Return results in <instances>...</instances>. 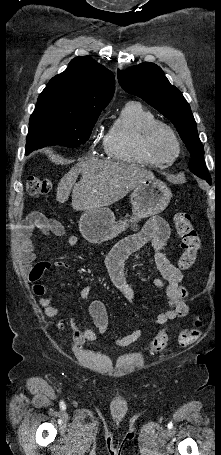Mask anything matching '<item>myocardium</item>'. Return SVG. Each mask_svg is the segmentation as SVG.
I'll return each instance as SVG.
<instances>
[{"instance_id": "1", "label": "myocardium", "mask_w": 221, "mask_h": 455, "mask_svg": "<svg viewBox=\"0 0 221 455\" xmlns=\"http://www.w3.org/2000/svg\"><path fill=\"white\" fill-rule=\"evenodd\" d=\"M168 138L174 145V153L170 154L163 145V139ZM148 148L156 155L168 162L174 161L180 153V141L174 130L164 122L155 121L150 124L145 132Z\"/></svg>"}]
</instances>
